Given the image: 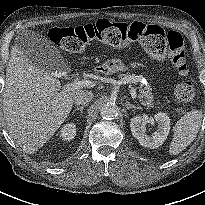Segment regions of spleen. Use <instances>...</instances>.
I'll return each mask as SVG.
<instances>
[{"label": "spleen", "mask_w": 205, "mask_h": 205, "mask_svg": "<svg viewBox=\"0 0 205 205\" xmlns=\"http://www.w3.org/2000/svg\"><path fill=\"white\" fill-rule=\"evenodd\" d=\"M202 118L201 110H192L176 122L173 127V139L169 146L170 155L179 154L193 142L200 129Z\"/></svg>", "instance_id": "1"}]
</instances>
